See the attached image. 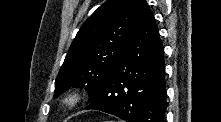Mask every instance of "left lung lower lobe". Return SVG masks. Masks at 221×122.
<instances>
[{
  "mask_svg": "<svg viewBox=\"0 0 221 122\" xmlns=\"http://www.w3.org/2000/svg\"><path fill=\"white\" fill-rule=\"evenodd\" d=\"M87 109L113 114L127 122H164V49L145 0L140 2L123 52Z\"/></svg>",
  "mask_w": 221,
  "mask_h": 122,
  "instance_id": "left-lung-lower-lobe-1",
  "label": "left lung lower lobe"
}]
</instances>
